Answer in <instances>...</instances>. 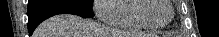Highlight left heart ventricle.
<instances>
[{
	"instance_id": "b2bd125f",
	"label": "left heart ventricle",
	"mask_w": 219,
	"mask_h": 37,
	"mask_svg": "<svg viewBox=\"0 0 219 37\" xmlns=\"http://www.w3.org/2000/svg\"><path fill=\"white\" fill-rule=\"evenodd\" d=\"M150 8L146 11V17L155 23L166 22L171 16V8L166 0H149Z\"/></svg>"
}]
</instances>
